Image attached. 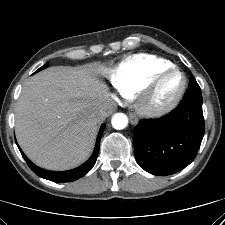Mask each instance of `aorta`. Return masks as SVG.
I'll return each mask as SVG.
<instances>
[{
    "instance_id": "762f6f07",
    "label": "aorta",
    "mask_w": 225,
    "mask_h": 225,
    "mask_svg": "<svg viewBox=\"0 0 225 225\" xmlns=\"http://www.w3.org/2000/svg\"><path fill=\"white\" fill-rule=\"evenodd\" d=\"M112 127L116 130H122L128 125V117L124 113H116L111 120Z\"/></svg>"
}]
</instances>
